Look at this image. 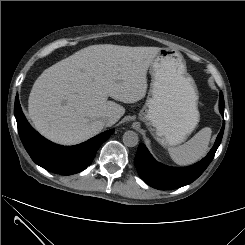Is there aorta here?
Masks as SVG:
<instances>
[{
    "label": "aorta",
    "mask_w": 245,
    "mask_h": 245,
    "mask_svg": "<svg viewBox=\"0 0 245 245\" xmlns=\"http://www.w3.org/2000/svg\"><path fill=\"white\" fill-rule=\"evenodd\" d=\"M138 135L134 131H126L123 134V143L128 147H134L138 144Z\"/></svg>",
    "instance_id": "1"
}]
</instances>
